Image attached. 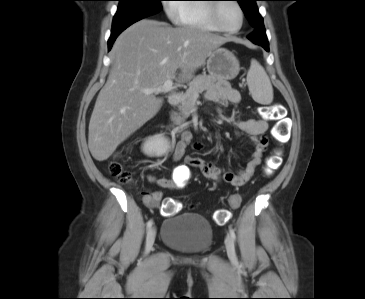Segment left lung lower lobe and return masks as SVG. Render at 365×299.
I'll return each mask as SVG.
<instances>
[{"instance_id":"left-lung-lower-lobe-1","label":"left lung lower lobe","mask_w":365,"mask_h":299,"mask_svg":"<svg viewBox=\"0 0 365 299\" xmlns=\"http://www.w3.org/2000/svg\"><path fill=\"white\" fill-rule=\"evenodd\" d=\"M248 39L257 45L262 46L266 51H269V43L264 26L255 28L254 32L248 36Z\"/></svg>"}]
</instances>
